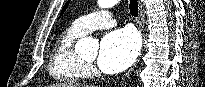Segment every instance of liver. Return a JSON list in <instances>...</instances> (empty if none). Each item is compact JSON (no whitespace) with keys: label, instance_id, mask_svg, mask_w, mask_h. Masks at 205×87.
Masks as SVG:
<instances>
[{"label":"liver","instance_id":"6515ba94","mask_svg":"<svg viewBox=\"0 0 205 87\" xmlns=\"http://www.w3.org/2000/svg\"><path fill=\"white\" fill-rule=\"evenodd\" d=\"M51 87H90V86L74 84L72 82H63V83L53 84Z\"/></svg>","mask_w":205,"mask_h":87}]
</instances>
